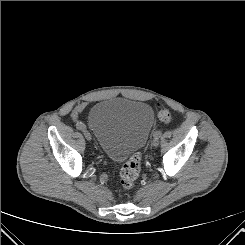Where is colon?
<instances>
[{"label": "colon", "mask_w": 245, "mask_h": 245, "mask_svg": "<svg viewBox=\"0 0 245 245\" xmlns=\"http://www.w3.org/2000/svg\"><path fill=\"white\" fill-rule=\"evenodd\" d=\"M159 118L164 122L171 121L170 112L162 105L159 106ZM141 154L134 153L120 170V184L123 190L132 188L140 173Z\"/></svg>", "instance_id": "colon-1"}]
</instances>
